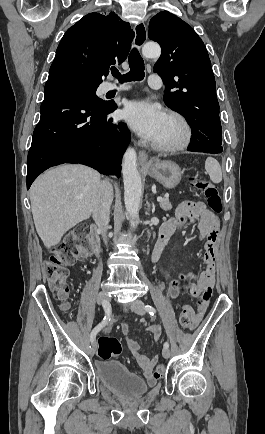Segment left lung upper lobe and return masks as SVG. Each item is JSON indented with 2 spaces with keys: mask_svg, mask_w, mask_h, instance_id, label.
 I'll return each mask as SVG.
<instances>
[{
  "mask_svg": "<svg viewBox=\"0 0 265 434\" xmlns=\"http://www.w3.org/2000/svg\"><path fill=\"white\" fill-rule=\"evenodd\" d=\"M149 38L162 49L154 72L166 83V105L186 118L192 133L222 139L215 77L201 38L168 11L150 20Z\"/></svg>",
  "mask_w": 265,
  "mask_h": 434,
  "instance_id": "1",
  "label": "left lung upper lobe"
}]
</instances>
